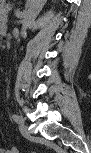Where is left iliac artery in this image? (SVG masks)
<instances>
[{"mask_svg": "<svg viewBox=\"0 0 91 153\" xmlns=\"http://www.w3.org/2000/svg\"><path fill=\"white\" fill-rule=\"evenodd\" d=\"M12 119L17 123H19L22 120L17 114H12Z\"/></svg>", "mask_w": 91, "mask_h": 153, "instance_id": "obj_1", "label": "left iliac artery"}]
</instances>
